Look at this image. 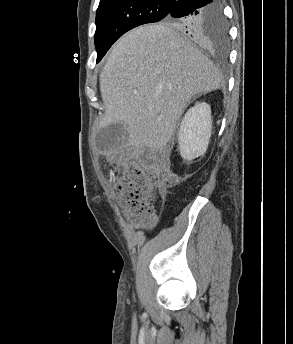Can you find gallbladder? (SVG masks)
<instances>
[{
	"label": "gallbladder",
	"mask_w": 293,
	"mask_h": 344,
	"mask_svg": "<svg viewBox=\"0 0 293 344\" xmlns=\"http://www.w3.org/2000/svg\"><path fill=\"white\" fill-rule=\"evenodd\" d=\"M125 128L120 123H111L102 128L96 136V146L102 152L115 149L123 138Z\"/></svg>",
	"instance_id": "obj_1"
}]
</instances>
